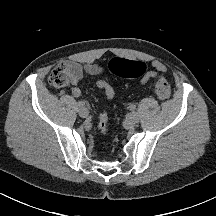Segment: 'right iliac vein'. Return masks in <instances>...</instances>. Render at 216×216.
Segmentation results:
<instances>
[{"label": "right iliac vein", "mask_w": 216, "mask_h": 216, "mask_svg": "<svg viewBox=\"0 0 216 216\" xmlns=\"http://www.w3.org/2000/svg\"><path fill=\"white\" fill-rule=\"evenodd\" d=\"M79 115H80L82 118H87L88 115H89V112H88L87 108H85V107L80 108V109H79Z\"/></svg>", "instance_id": "1"}]
</instances>
